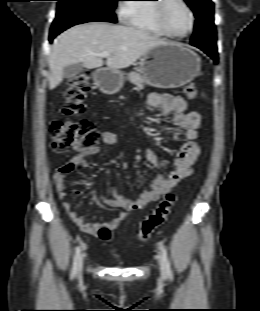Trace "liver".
I'll use <instances>...</instances> for the list:
<instances>
[{
  "label": "liver",
  "instance_id": "1",
  "mask_svg": "<svg viewBox=\"0 0 260 311\" xmlns=\"http://www.w3.org/2000/svg\"><path fill=\"white\" fill-rule=\"evenodd\" d=\"M168 42L148 32L123 25L94 22L76 25L54 41L48 58L50 89L57 87L63 77V69L82 63L88 69L103 66L102 57L96 54L109 52L108 69L119 70L134 64L153 47Z\"/></svg>",
  "mask_w": 260,
  "mask_h": 311
}]
</instances>
